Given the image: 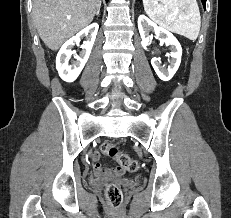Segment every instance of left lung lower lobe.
Instances as JSON below:
<instances>
[{"instance_id":"left-lung-lower-lobe-1","label":"left lung lower lobe","mask_w":231,"mask_h":218,"mask_svg":"<svg viewBox=\"0 0 231 218\" xmlns=\"http://www.w3.org/2000/svg\"><path fill=\"white\" fill-rule=\"evenodd\" d=\"M202 1V4L204 6V9L206 8V0H201Z\"/></svg>"}]
</instances>
